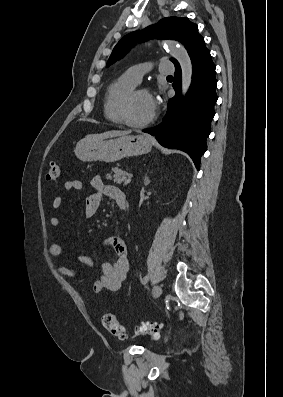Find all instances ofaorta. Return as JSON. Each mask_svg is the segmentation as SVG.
<instances>
[{
    "instance_id": "aorta-1",
    "label": "aorta",
    "mask_w": 283,
    "mask_h": 397,
    "mask_svg": "<svg viewBox=\"0 0 283 397\" xmlns=\"http://www.w3.org/2000/svg\"><path fill=\"white\" fill-rule=\"evenodd\" d=\"M164 46L179 62L182 71V95L184 96L192 81V63L183 45L176 41H165Z\"/></svg>"
}]
</instances>
